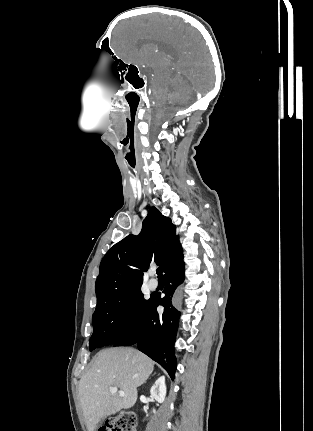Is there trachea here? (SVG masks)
<instances>
[{"instance_id":"trachea-1","label":"trachea","mask_w":313,"mask_h":431,"mask_svg":"<svg viewBox=\"0 0 313 431\" xmlns=\"http://www.w3.org/2000/svg\"><path fill=\"white\" fill-rule=\"evenodd\" d=\"M156 273L158 275V279H162L163 275H162V267H158L156 270Z\"/></svg>"}]
</instances>
